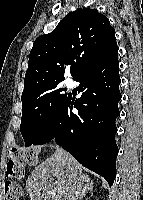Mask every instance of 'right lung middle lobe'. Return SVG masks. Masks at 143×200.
I'll list each match as a JSON object with an SVG mask.
<instances>
[{
	"label": "right lung middle lobe",
	"mask_w": 143,
	"mask_h": 200,
	"mask_svg": "<svg viewBox=\"0 0 143 200\" xmlns=\"http://www.w3.org/2000/svg\"><path fill=\"white\" fill-rule=\"evenodd\" d=\"M62 81L48 82L22 93L20 131L26 147L32 145L68 97L69 94L63 93Z\"/></svg>",
	"instance_id": "right-lung-middle-lobe-1"
}]
</instances>
